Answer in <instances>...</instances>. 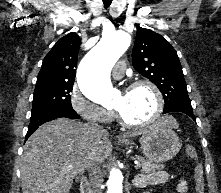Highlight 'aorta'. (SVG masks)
<instances>
[{
  "label": "aorta",
  "mask_w": 221,
  "mask_h": 193,
  "mask_svg": "<svg viewBox=\"0 0 221 193\" xmlns=\"http://www.w3.org/2000/svg\"><path fill=\"white\" fill-rule=\"evenodd\" d=\"M131 37L126 32L117 31L102 38L80 62L77 81L82 93L91 101L105 104L112 100L115 90L111 84L109 71L128 49ZM123 192V175L112 168L107 181V193Z\"/></svg>",
  "instance_id": "1"
}]
</instances>
